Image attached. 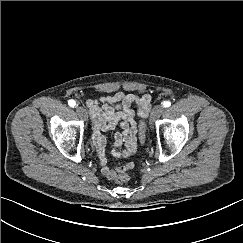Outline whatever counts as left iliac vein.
<instances>
[{"instance_id":"obj_1","label":"left iliac vein","mask_w":243,"mask_h":243,"mask_svg":"<svg viewBox=\"0 0 243 243\" xmlns=\"http://www.w3.org/2000/svg\"><path fill=\"white\" fill-rule=\"evenodd\" d=\"M164 108L162 105H156L153 109L152 112L150 114V118H149V124L152 126L153 123L161 116V114L163 113Z\"/></svg>"}]
</instances>
